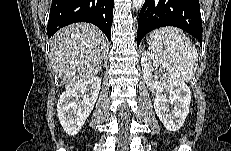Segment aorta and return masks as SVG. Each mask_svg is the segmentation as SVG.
Here are the masks:
<instances>
[{"instance_id":"1","label":"aorta","mask_w":231,"mask_h":151,"mask_svg":"<svg viewBox=\"0 0 231 151\" xmlns=\"http://www.w3.org/2000/svg\"><path fill=\"white\" fill-rule=\"evenodd\" d=\"M132 3H133V7L138 10L142 8V6L145 3V0H133Z\"/></svg>"}]
</instances>
